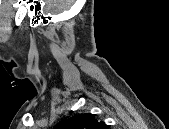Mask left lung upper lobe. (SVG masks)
Segmentation results:
<instances>
[{
	"instance_id": "obj_1",
	"label": "left lung upper lobe",
	"mask_w": 169,
	"mask_h": 129,
	"mask_svg": "<svg viewBox=\"0 0 169 129\" xmlns=\"http://www.w3.org/2000/svg\"><path fill=\"white\" fill-rule=\"evenodd\" d=\"M56 129H106V125L92 114L86 113L61 121Z\"/></svg>"
}]
</instances>
